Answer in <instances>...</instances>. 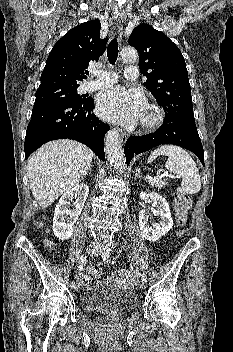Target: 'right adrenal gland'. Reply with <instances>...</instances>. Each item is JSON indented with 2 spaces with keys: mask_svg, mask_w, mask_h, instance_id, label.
I'll return each instance as SVG.
<instances>
[{
  "mask_svg": "<svg viewBox=\"0 0 233 352\" xmlns=\"http://www.w3.org/2000/svg\"><path fill=\"white\" fill-rule=\"evenodd\" d=\"M91 171H92V169H91V167H90V169H89V171H88V173H87V174H91Z\"/></svg>",
  "mask_w": 233,
  "mask_h": 352,
  "instance_id": "right-adrenal-gland-1",
  "label": "right adrenal gland"
}]
</instances>
